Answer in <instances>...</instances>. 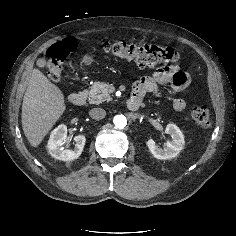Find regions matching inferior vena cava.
Returning <instances> with one entry per match:
<instances>
[{
	"label": "inferior vena cava",
	"mask_w": 236,
	"mask_h": 236,
	"mask_svg": "<svg viewBox=\"0 0 236 236\" xmlns=\"http://www.w3.org/2000/svg\"><path fill=\"white\" fill-rule=\"evenodd\" d=\"M89 115L92 119L101 120L106 116V111L102 108H93L90 110Z\"/></svg>",
	"instance_id": "1"
}]
</instances>
